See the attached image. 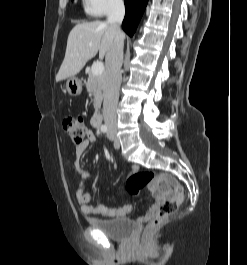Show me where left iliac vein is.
<instances>
[{
    "instance_id": "1",
    "label": "left iliac vein",
    "mask_w": 247,
    "mask_h": 265,
    "mask_svg": "<svg viewBox=\"0 0 247 265\" xmlns=\"http://www.w3.org/2000/svg\"><path fill=\"white\" fill-rule=\"evenodd\" d=\"M108 137H109V139H111L113 141L115 149H119L120 148V141L116 135V132L114 130L110 129L108 131Z\"/></svg>"
}]
</instances>
